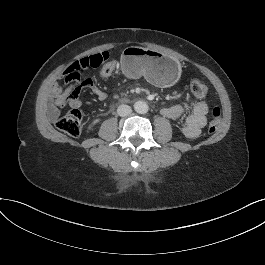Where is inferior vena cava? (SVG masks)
Listing matches in <instances>:
<instances>
[{
	"instance_id": "obj_1",
	"label": "inferior vena cava",
	"mask_w": 265,
	"mask_h": 265,
	"mask_svg": "<svg viewBox=\"0 0 265 265\" xmlns=\"http://www.w3.org/2000/svg\"><path fill=\"white\" fill-rule=\"evenodd\" d=\"M119 116L125 117L132 113V108L128 105H120L117 109Z\"/></svg>"
}]
</instances>
